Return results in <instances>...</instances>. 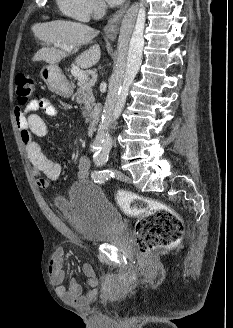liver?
<instances>
[{"label":"liver","instance_id":"6515ba94","mask_svg":"<svg viewBox=\"0 0 233 328\" xmlns=\"http://www.w3.org/2000/svg\"><path fill=\"white\" fill-rule=\"evenodd\" d=\"M32 30L35 37L46 45L35 53L32 61H45L49 64L59 63L70 53L52 45L59 43L72 46L73 53H76L82 45L92 41L99 33L88 25L64 20L36 24ZM100 57V47L95 44L83 51L76 58L75 63L81 68H89L96 65Z\"/></svg>","mask_w":233,"mask_h":328}]
</instances>
